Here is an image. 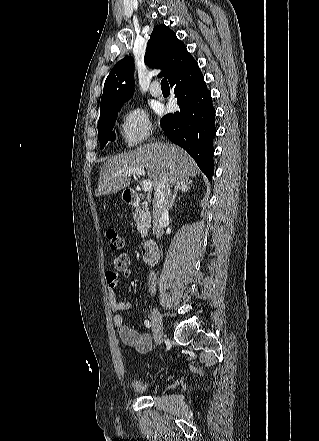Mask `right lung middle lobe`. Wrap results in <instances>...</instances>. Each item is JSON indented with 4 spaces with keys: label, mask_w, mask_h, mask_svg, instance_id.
Segmentation results:
<instances>
[{
    "label": "right lung middle lobe",
    "mask_w": 319,
    "mask_h": 441,
    "mask_svg": "<svg viewBox=\"0 0 319 441\" xmlns=\"http://www.w3.org/2000/svg\"><path fill=\"white\" fill-rule=\"evenodd\" d=\"M121 106L122 105H118L100 110L98 137L101 149L108 141L115 140V133L112 132V129L115 125V121Z\"/></svg>",
    "instance_id": "dd1d6c3e"
}]
</instances>
